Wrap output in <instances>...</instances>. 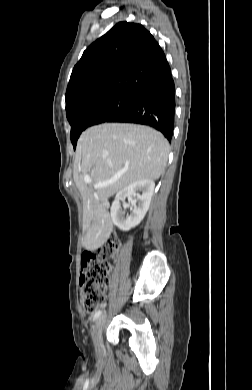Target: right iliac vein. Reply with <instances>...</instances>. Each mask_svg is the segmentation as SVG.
<instances>
[{
    "instance_id": "1",
    "label": "right iliac vein",
    "mask_w": 252,
    "mask_h": 390,
    "mask_svg": "<svg viewBox=\"0 0 252 390\" xmlns=\"http://www.w3.org/2000/svg\"><path fill=\"white\" fill-rule=\"evenodd\" d=\"M105 319H106L105 314L100 315L97 318L92 328V338H93L94 345L97 349H100L103 344L102 331H103Z\"/></svg>"
}]
</instances>
